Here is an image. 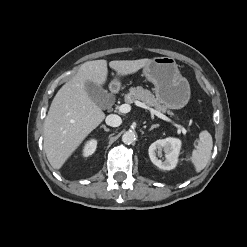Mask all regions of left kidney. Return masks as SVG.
Segmentation results:
<instances>
[{
	"instance_id": "1",
	"label": "left kidney",
	"mask_w": 247,
	"mask_h": 247,
	"mask_svg": "<svg viewBox=\"0 0 247 247\" xmlns=\"http://www.w3.org/2000/svg\"><path fill=\"white\" fill-rule=\"evenodd\" d=\"M181 141L177 138L159 139L149 147V157L154 165L162 170H172L177 166ZM164 152L165 159L162 160Z\"/></svg>"
}]
</instances>
